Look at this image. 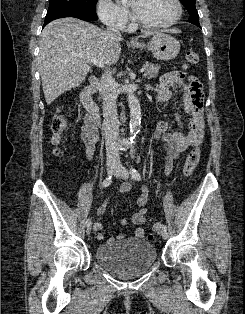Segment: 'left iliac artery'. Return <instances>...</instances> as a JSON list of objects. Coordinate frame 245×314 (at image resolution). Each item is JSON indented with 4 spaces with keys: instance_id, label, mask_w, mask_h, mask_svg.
Masks as SVG:
<instances>
[{
    "instance_id": "1",
    "label": "left iliac artery",
    "mask_w": 245,
    "mask_h": 314,
    "mask_svg": "<svg viewBox=\"0 0 245 314\" xmlns=\"http://www.w3.org/2000/svg\"><path fill=\"white\" fill-rule=\"evenodd\" d=\"M131 175L135 180H137V181L141 180V175L135 168H131ZM163 230H167L166 225H163Z\"/></svg>"
}]
</instances>
